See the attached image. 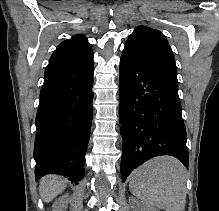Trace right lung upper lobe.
<instances>
[{"mask_svg": "<svg viewBox=\"0 0 219 211\" xmlns=\"http://www.w3.org/2000/svg\"><path fill=\"white\" fill-rule=\"evenodd\" d=\"M93 58L88 40L78 35L62 42L51 56L49 63L81 62Z\"/></svg>", "mask_w": 219, "mask_h": 211, "instance_id": "obj_1", "label": "right lung upper lobe"}]
</instances>
